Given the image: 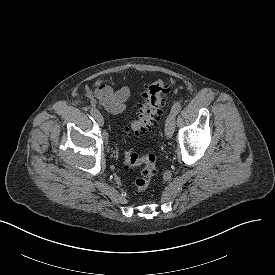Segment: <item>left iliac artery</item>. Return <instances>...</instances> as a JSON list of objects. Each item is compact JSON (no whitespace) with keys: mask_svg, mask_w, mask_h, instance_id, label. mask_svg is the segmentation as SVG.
I'll list each match as a JSON object with an SVG mask.
<instances>
[{"mask_svg":"<svg viewBox=\"0 0 275 275\" xmlns=\"http://www.w3.org/2000/svg\"><path fill=\"white\" fill-rule=\"evenodd\" d=\"M181 111V104L179 102H176L173 106H172V111L174 114H178Z\"/></svg>","mask_w":275,"mask_h":275,"instance_id":"44dca946","label":"left iliac artery"}]
</instances>
